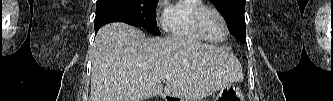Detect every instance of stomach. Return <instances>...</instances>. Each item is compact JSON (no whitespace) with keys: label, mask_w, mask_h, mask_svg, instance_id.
Wrapping results in <instances>:
<instances>
[{"label":"stomach","mask_w":333,"mask_h":101,"mask_svg":"<svg viewBox=\"0 0 333 101\" xmlns=\"http://www.w3.org/2000/svg\"><path fill=\"white\" fill-rule=\"evenodd\" d=\"M214 101H244V97L238 86L230 84L220 89L219 94Z\"/></svg>","instance_id":"1"}]
</instances>
